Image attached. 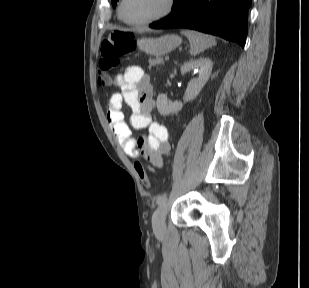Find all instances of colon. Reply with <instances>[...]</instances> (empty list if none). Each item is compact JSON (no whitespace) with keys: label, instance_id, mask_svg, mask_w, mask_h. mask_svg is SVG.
Here are the masks:
<instances>
[{"label":"colon","instance_id":"colon-1","mask_svg":"<svg viewBox=\"0 0 309 288\" xmlns=\"http://www.w3.org/2000/svg\"><path fill=\"white\" fill-rule=\"evenodd\" d=\"M134 48L135 38L129 31H114L103 40L100 46L98 77V83L101 87H108L112 84V71L118 67L121 59L131 53ZM134 167L141 177L144 186L150 188L151 183L142 162L136 161Z\"/></svg>","mask_w":309,"mask_h":288}]
</instances>
